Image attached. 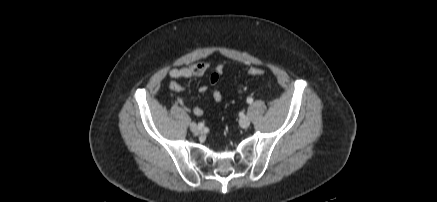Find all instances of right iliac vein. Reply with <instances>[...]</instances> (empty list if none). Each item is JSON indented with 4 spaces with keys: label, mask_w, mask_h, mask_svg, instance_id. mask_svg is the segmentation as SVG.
Here are the masks:
<instances>
[{
    "label": "right iliac vein",
    "mask_w": 437,
    "mask_h": 202,
    "mask_svg": "<svg viewBox=\"0 0 437 202\" xmlns=\"http://www.w3.org/2000/svg\"><path fill=\"white\" fill-rule=\"evenodd\" d=\"M190 129L192 132L198 134L202 132V128L200 126H198L196 123H191L190 124Z\"/></svg>",
    "instance_id": "63e3f726"
}]
</instances>
